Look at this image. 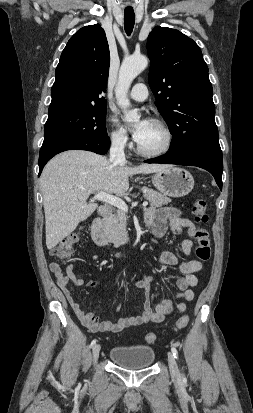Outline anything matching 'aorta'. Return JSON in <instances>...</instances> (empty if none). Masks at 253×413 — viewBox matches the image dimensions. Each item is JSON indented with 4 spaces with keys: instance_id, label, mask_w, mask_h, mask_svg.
Instances as JSON below:
<instances>
[{
    "instance_id": "aorta-1",
    "label": "aorta",
    "mask_w": 253,
    "mask_h": 413,
    "mask_svg": "<svg viewBox=\"0 0 253 413\" xmlns=\"http://www.w3.org/2000/svg\"><path fill=\"white\" fill-rule=\"evenodd\" d=\"M148 59L143 55L130 56L123 60L118 83L115 89L117 105L123 110L124 121L128 124L138 122L140 115L137 110H129L130 101L127 97L132 81L147 67Z\"/></svg>"
}]
</instances>
